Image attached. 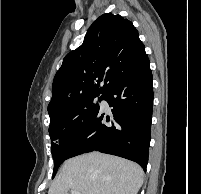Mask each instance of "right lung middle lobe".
<instances>
[{
  "label": "right lung middle lobe",
  "instance_id": "right-lung-middle-lobe-1",
  "mask_svg": "<svg viewBox=\"0 0 201 194\" xmlns=\"http://www.w3.org/2000/svg\"><path fill=\"white\" fill-rule=\"evenodd\" d=\"M98 96L85 98L72 106H70L62 114L50 118L49 133L51 141L59 142L51 143L52 156L54 159L55 176L58 167L63 160L58 156L61 143L83 123L91 119L100 109V106L95 103ZM103 100V95L98 98V101Z\"/></svg>",
  "mask_w": 201,
  "mask_h": 194
}]
</instances>
